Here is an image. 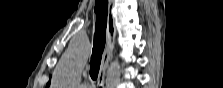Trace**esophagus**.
<instances>
[{"label":"esophagus","mask_w":223,"mask_h":88,"mask_svg":"<svg viewBox=\"0 0 223 88\" xmlns=\"http://www.w3.org/2000/svg\"><path fill=\"white\" fill-rule=\"evenodd\" d=\"M115 45V16H114V0H108L107 15V45L102 55V62L97 78V87L104 85L106 69L110 61Z\"/></svg>","instance_id":"34e87169"}]
</instances>
